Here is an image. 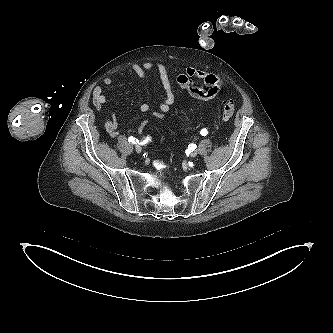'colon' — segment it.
Masks as SVG:
<instances>
[{
	"label": "colon",
	"instance_id": "obj_1",
	"mask_svg": "<svg viewBox=\"0 0 333 333\" xmlns=\"http://www.w3.org/2000/svg\"><path fill=\"white\" fill-rule=\"evenodd\" d=\"M222 112L225 119H230L235 112L234 104L231 101H225L223 103Z\"/></svg>",
	"mask_w": 333,
	"mask_h": 333
}]
</instances>
